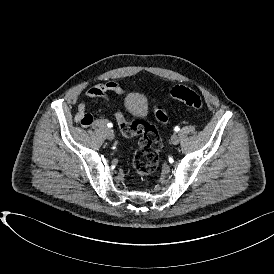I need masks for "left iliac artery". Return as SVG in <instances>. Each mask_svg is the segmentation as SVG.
Listing matches in <instances>:
<instances>
[{
	"label": "left iliac artery",
	"mask_w": 274,
	"mask_h": 274,
	"mask_svg": "<svg viewBox=\"0 0 274 274\" xmlns=\"http://www.w3.org/2000/svg\"><path fill=\"white\" fill-rule=\"evenodd\" d=\"M174 130H175L176 132H178V131L180 130V128H179L178 126H176V127L174 128Z\"/></svg>",
	"instance_id": "obj_1"
}]
</instances>
